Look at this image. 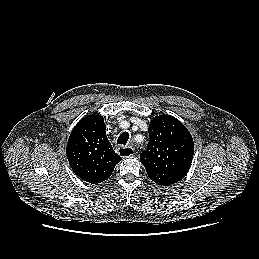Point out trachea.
Here are the masks:
<instances>
[{
  "instance_id": "obj_1",
  "label": "trachea",
  "mask_w": 259,
  "mask_h": 259,
  "mask_svg": "<svg viewBox=\"0 0 259 259\" xmlns=\"http://www.w3.org/2000/svg\"><path fill=\"white\" fill-rule=\"evenodd\" d=\"M128 139H129V134L127 132H123L118 137L117 143L121 145H126Z\"/></svg>"
}]
</instances>
